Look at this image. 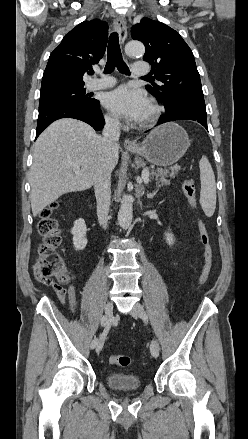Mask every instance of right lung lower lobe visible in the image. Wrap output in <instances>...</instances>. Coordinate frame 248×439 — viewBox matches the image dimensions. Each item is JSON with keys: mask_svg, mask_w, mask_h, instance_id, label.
Returning a JSON list of instances; mask_svg holds the SVG:
<instances>
[{"mask_svg": "<svg viewBox=\"0 0 248 439\" xmlns=\"http://www.w3.org/2000/svg\"><path fill=\"white\" fill-rule=\"evenodd\" d=\"M61 118L82 120L91 125L97 131L102 129L105 124L98 100H95L91 104L70 103L59 105L39 112L36 138L52 122Z\"/></svg>", "mask_w": 248, "mask_h": 439, "instance_id": "obj_1", "label": "right lung lower lobe"}]
</instances>
